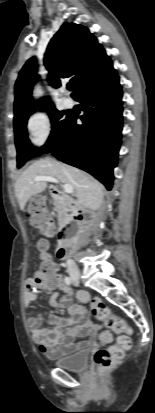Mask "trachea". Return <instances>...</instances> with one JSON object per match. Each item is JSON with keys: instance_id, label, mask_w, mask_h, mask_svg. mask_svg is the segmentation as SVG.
Wrapping results in <instances>:
<instances>
[{"instance_id": "obj_1", "label": "trachea", "mask_w": 155, "mask_h": 413, "mask_svg": "<svg viewBox=\"0 0 155 413\" xmlns=\"http://www.w3.org/2000/svg\"><path fill=\"white\" fill-rule=\"evenodd\" d=\"M72 88L71 84L67 85V89L70 90Z\"/></svg>"}]
</instances>
